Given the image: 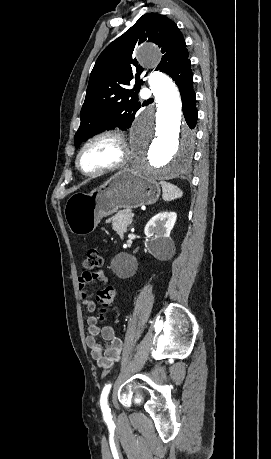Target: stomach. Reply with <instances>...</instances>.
<instances>
[{
  "instance_id": "1",
  "label": "stomach",
  "mask_w": 271,
  "mask_h": 459,
  "mask_svg": "<svg viewBox=\"0 0 271 459\" xmlns=\"http://www.w3.org/2000/svg\"><path fill=\"white\" fill-rule=\"evenodd\" d=\"M160 186L153 178L123 168L110 180L90 194H73L64 214L67 226L76 235H87L97 228L101 218L117 212L119 208H138L155 204Z\"/></svg>"
}]
</instances>
